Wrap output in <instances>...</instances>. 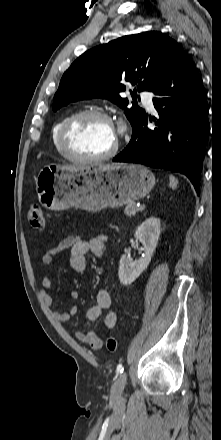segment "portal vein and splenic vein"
I'll use <instances>...</instances> for the list:
<instances>
[{
    "label": "portal vein and splenic vein",
    "instance_id": "portal-vein-and-splenic-vein-1",
    "mask_svg": "<svg viewBox=\"0 0 221 440\" xmlns=\"http://www.w3.org/2000/svg\"><path fill=\"white\" fill-rule=\"evenodd\" d=\"M145 207H146V206L143 204V205H141V206L139 207V210L142 211V210L145 209Z\"/></svg>",
    "mask_w": 221,
    "mask_h": 440
}]
</instances>
